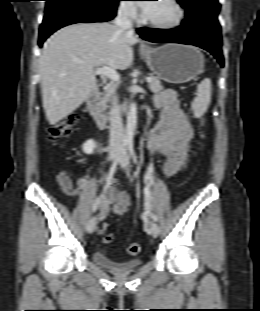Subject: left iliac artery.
<instances>
[{"mask_svg": "<svg viewBox=\"0 0 260 311\" xmlns=\"http://www.w3.org/2000/svg\"><path fill=\"white\" fill-rule=\"evenodd\" d=\"M128 149H129L130 155L132 156V159H133L134 163L137 164V158H136V154H135V151H134V146H133V142L132 141H130L128 143ZM148 178L150 180V184H152V176H151V174H148ZM145 205L147 207H151V203H150V200L148 199V196L146 197ZM151 218L154 221L158 220L156 214H154L153 212H151Z\"/></svg>", "mask_w": 260, "mask_h": 311, "instance_id": "44dca946", "label": "left iliac artery"}]
</instances>
